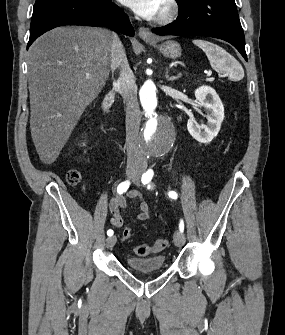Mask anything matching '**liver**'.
Wrapping results in <instances>:
<instances>
[{"instance_id": "obj_1", "label": "liver", "mask_w": 285, "mask_h": 335, "mask_svg": "<svg viewBox=\"0 0 285 335\" xmlns=\"http://www.w3.org/2000/svg\"><path fill=\"white\" fill-rule=\"evenodd\" d=\"M113 32L88 26L55 28L29 48L30 130L43 164H53L111 66ZM85 74H91L87 80Z\"/></svg>"}]
</instances>
